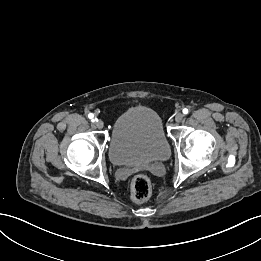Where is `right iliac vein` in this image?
<instances>
[{
	"instance_id": "obj_1",
	"label": "right iliac vein",
	"mask_w": 261,
	"mask_h": 261,
	"mask_svg": "<svg viewBox=\"0 0 261 261\" xmlns=\"http://www.w3.org/2000/svg\"><path fill=\"white\" fill-rule=\"evenodd\" d=\"M95 126H96V128H98V129H102L103 126H104V123H103L102 120H97V121L95 122Z\"/></svg>"
}]
</instances>
